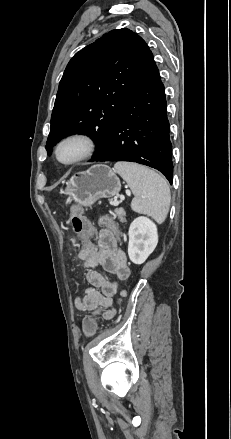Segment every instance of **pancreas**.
Here are the masks:
<instances>
[{
	"mask_svg": "<svg viewBox=\"0 0 231 439\" xmlns=\"http://www.w3.org/2000/svg\"><path fill=\"white\" fill-rule=\"evenodd\" d=\"M115 212H116L120 222H122V223L126 222L125 211L123 209H116Z\"/></svg>",
	"mask_w": 231,
	"mask_h": 439,
	"instance_id": "obj_1",
	"label": "pancreas"
}]
</instances>
